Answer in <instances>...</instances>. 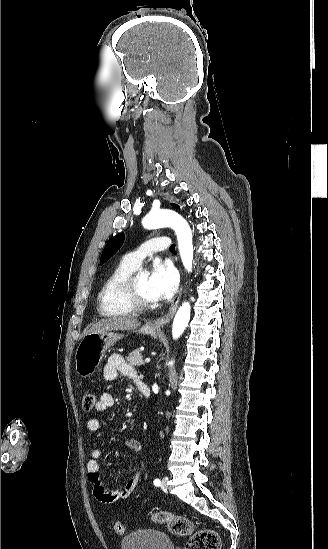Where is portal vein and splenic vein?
<instances>
[{"label":"portal vein and splenic vein","mask_w":328,"mask_h":549,"mask_svg":"<svg viewBox=\"0 0 328 549\" xmlns=\"http://www.w3.org/2000/svg\"><path fill=\"white\" fill-rule=\"evenodd\" d=\"M146 361H150V358H146Z\"/></svg>","instance_id":"obj_1"}]
</instances>
